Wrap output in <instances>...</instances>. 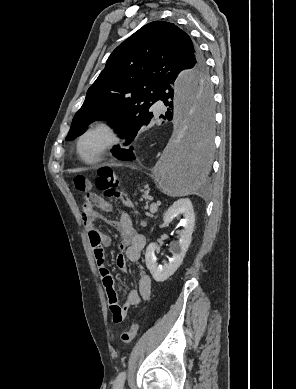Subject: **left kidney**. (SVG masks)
Listing matches in <instances>:
<instances>
[{"mask_svg": "<svg viewBox=\"0 0 296 389\" xmlns=\"http://www.w3.org/2000/svg\"><path fill=\"white\" fill-rule=\"evenodd\" d=\"M183 215L184 229L180 234V239L172 246V258L168 263L158 265L155 251L157 245L151 243L148 245L145 254V261L148 270L156 282H163L172 276L182 264L186 252L190 246L192 233L195 226V214L192 203L189 199H179L176 201L164 215V224L168 225L176 217Z\"/></svg>", "mask_w": 296, "mask_h": 389, "instance_id": "1", "label": "left kidney"}]
</instances>
